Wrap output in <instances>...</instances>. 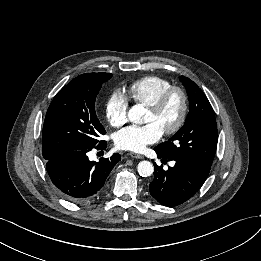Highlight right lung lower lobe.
I'll use <instances>...</instances> for the list:
<instances>
[{"instance_id":"98d812e1","label":"right lung lower lobe","mask_w":261,"mask_h":261,"mask_svg":"<svg viewBox=\"0 0 261 261\" xmlns=\"http://www.w3.org/2000/svg\"><path fill=\"white\" fill-rule=\"evenodd\" d=\"M106 148V142L100 141L95 147ZM74 150L54 159L47 160L46 169L58 192L72 202H86L95 198L113 167L121 160L118 153L99 162L89 161L87 153L91 150Z\"/></svg>"}]
</instances>
